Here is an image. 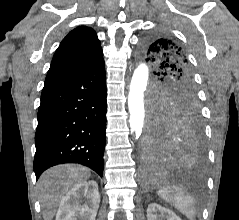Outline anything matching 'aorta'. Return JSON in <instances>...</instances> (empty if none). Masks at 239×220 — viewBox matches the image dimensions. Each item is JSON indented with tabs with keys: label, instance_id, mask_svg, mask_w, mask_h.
Returning a JSON list of instances; mask_svg holds the SVG:
<instances>
[{
	"label": "aorta",
	"instance_id": "1",
	"mask_svg": "<svg viewBox=\"0 0 239 220\" xmlns=\"http://www.w3.org/2000/svg\"><path fill=\"white\" fill-rule=\"evenodd\" d=\"M149 82L148 66L143 62H138L132 75L128 96L130 130L136 137L141 135L144 127V93L149 86Z\"/></svg>",
	"mask_w": 239,
	"mask_h": 220
}]
</instances>
